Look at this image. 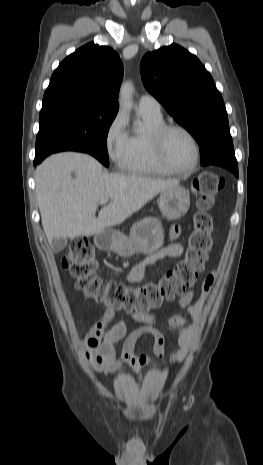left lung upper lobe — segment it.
Here are the masks:
<instances>
[{
  "mask_svg": "<svg viewBox=\"0 0 263 465\" xmlns=\"http://www.w3.org/2000/svg\"><path fill=\"white\" fill-rule=\"evenodd\" d=\"M146 89L197 140L202 162L235 157L223 98L198 58L172 44L141 60Z\"/></svg>",
  "mask_w": 263,
  "mask_h": 465,
  "instance_id": "1",
  "label": "left lung upper lobe"
}]
</instances>
